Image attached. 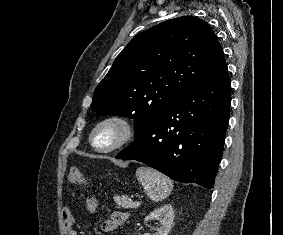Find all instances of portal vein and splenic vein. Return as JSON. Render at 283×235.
Returning <instances> with one entry per match:
<instances>
[{
	"instance_id": "obj_1",
	"label": "portal vein and splenic vein",
	"mask_w": 283,
	"mask_h": 235,
	"mask_svg": "<svg viewBox=\"0 0 283 235\" xmlns=\"http://www.w3.org/2000/svg\"><path fill=\"white\" fill-rule=\"evenodd\" d=\"M136 203H137L138 205H140V203H141V202H140V201H138V202H136Z\"/></svg>"
}]
</instances>
